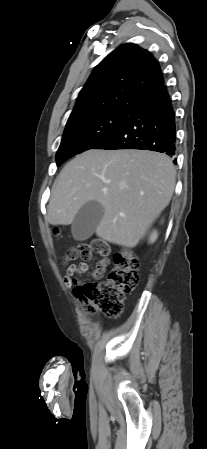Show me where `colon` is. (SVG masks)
<instances>
[{
  "label": "colon",
  "instance_id": "1",
  "mask_svg": "<svg viewBox=\"0 0 207 449\" xmlns=\"http://www.w3.org/2000/svg\"><path fill=\"white\" fill-rule=\"evenodd\" d=\"M98 254L102 259L97 263L94 277H103L110 262V248L101 240L82 242L71 248L65 256L67 261L80 258L87 262ZM114 266L105 281H88L75 287L74 293L87 304L89 312H101L109 318H116L123 309L124 296L132 292L139 281V261L129 249L113 255Z\"/></svg>",
  "mask_w": 207,
  "mask_h": 449
}]
</instances>
